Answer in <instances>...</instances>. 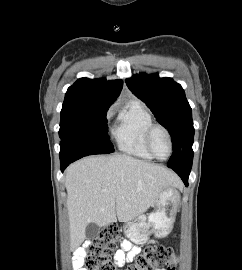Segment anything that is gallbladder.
Returning <instances> with one entry per match:
<instances>
[{"mask_svg":"<svg viewBox=\"0 0 242 270\" xmlns=\"http://www.w3.org/2000/svg\"><path fill=\"white\" fill-rule=\"evenodd\" d=\"M86 236L90 239L95 238L99 233V227L95 223H89L85 230Z\"/></svg>","mask_w":242,"mask_h":270,"instance_id":"obj_1","label":"gallbladder"}]
</instances>
